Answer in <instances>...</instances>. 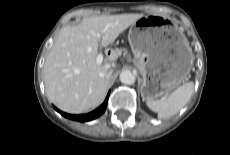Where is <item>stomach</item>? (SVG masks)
I'll return each instance as SVG.
<instances>
[{
  "instance_id": "0dacf381",
  "label": "stomach",
  "mask_w": 230,
  "mask_h": 155,
  "mask_svg": "<svg viewBox=\"0 0 230 155\" xmlns=\"http://www.w3.org/2000/svg\"><path fill=\"white\" fill-rule=\"evenodd\" d=\"M128 39L143 77L144 100H158L187 80L193 64L192 49L174 21L143 16L132 24Z\"/></svg>"
}]
</instances>
